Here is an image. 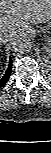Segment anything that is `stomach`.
<instances>
[{
	"instance_id": "obj_1",
	"label": "stomach",
	"mask_w": 51,
	"mask_h": 153,
	"mask_svg": "<svg viewBox=\"0 0 51 153\" xmlns=\"http://www.w3.org/2000/svg\"><path fill=\"white\" fill-rule=\"evenodd\" d=\"M40 33L42 35L43 40L47 43V44H51V31L45 30V29H41Z\"/></svg>"
}]
</instances>
